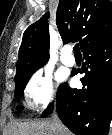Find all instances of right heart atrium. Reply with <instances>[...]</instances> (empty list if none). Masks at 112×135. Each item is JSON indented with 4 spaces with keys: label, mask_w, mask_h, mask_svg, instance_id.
Wrapping results in <instances>:
<instances>
[{
    "label": "right heart atrium",
    "mask_w": 112,
    "mask_h": 135,
    "mask_svg": "<svg viewBox=\"0 0 112 135\" xmlns=\"http://www.w3.org/2000/svg\"><path fill=\"white\" fill-rule=\"evenodd\" d=\"M56 88L49 73L35 72L24 88L27 106L35 111L46 108L55 98Z\"/></svg>",
    "instance_id": "1"
}]
</instances>
